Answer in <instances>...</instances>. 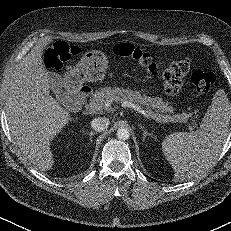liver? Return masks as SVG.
Returning <instances> with one entry per match:
<instances>
[{
  "instance_id": "liver-1",
  "label": "liver",
  "mask_w": 231,
  "mask_h": 231,
  "mask_svg": "<svg viewBox=\"0 0 231 231\" xmlns=\"http://www.w3.org/2000/svg\"><path fill=\"white\" fill-rule=\"evenodd\" d=\"M47 44L40 41L16 66L6 92L10 133L21 153L41 171L52 169L51 141L72 121L50 95L51 81L42 58Z\"/></svg>"
}]
</instances>
